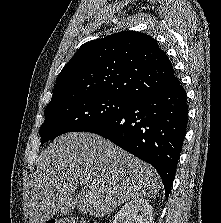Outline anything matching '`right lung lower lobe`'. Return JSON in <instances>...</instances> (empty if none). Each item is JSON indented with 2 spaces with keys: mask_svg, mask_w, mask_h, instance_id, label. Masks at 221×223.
I'll return each instance as SVG.
<instances>
[{
  "mask_svg": "<svg viewBox=\"0 0 221 223\" xmlns=\"http://www.w3.org/2000/svg\"><path fill=\"white\" fill-rule=\"evenodd\" d=\"M186 92L180 83L136 99L115 117L87 129L109 139L160 175L168 198L187 129Z\"/></svg>",
  "mask_w": 221,
  "mask_h": 223,
  "instance_id": "right-lung-lower-lobe-1",
  "label": "right lung lower lobe"
}]
</instances>
